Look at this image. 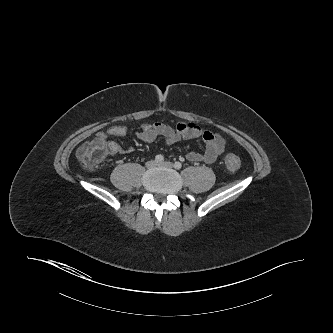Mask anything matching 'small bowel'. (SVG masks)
<instances>
[{"label":"small bowel","mask_w":333,"mask_h":333,"mask_svg":"<svg viewBox=\"0 0 333 333\" xmlns=\"http://www.w3.org/2000/svg\"><path fill=\"white\" fill-rule=\"evenodd\" d=\"M127 133L128 129L125 126H112L99 131L96 138L107 140L108 137H122L126 136ZM159 136L164 138L167 145L175 144L181 140L201 138L206 145L205 151L203 153L191 151L186 154V159L195 163L211 164L215 162L225 147V140L222 136L209 130H204L191 122H179L176 127L165 123L144 124L137 132V137L144 142H153ZM108 143L111 148V154H125L132 151V148L123 149L116 142L110 141Z\"/></svg>","instance_id":"c3829d8e"}]
</instances>
